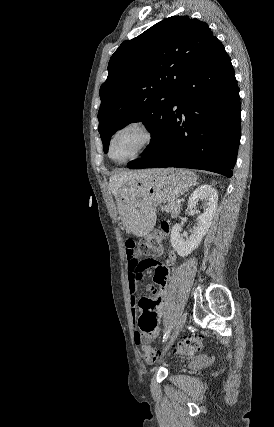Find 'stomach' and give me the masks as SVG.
Returning a JSON list of instances; mask_svg holds the SVG:
<instances>
[{
	"label": "stomach",
	"instance_id": "1",
	"mask_svg": "<svg viewBox=\"0 0 274 427\" xmlns=\"http://www.w3.org/2000/svg\"><path fill=\"white\" fill-rule=\"evenodd\" d=\"M133 180L132 190H127L126 200L120 202L118 210L127 231L143 237L152 231L156 223L157 206L183 196L196 184L197 178L190 170L167 168L155 170L154 174H147L143 180L134 176Z\"/></svg>",
	"mask_w": 274,
	"mask_h": 427
}]
</instances>
